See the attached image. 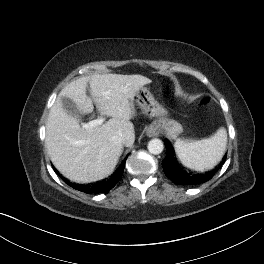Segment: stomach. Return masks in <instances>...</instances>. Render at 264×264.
Listing matches in <instances>:
<instances>
[{
  "label": "stomach",
  "instance_id": "obj_1",
  "mask_svg": "<svg viewBox=\"0 0 264 264\" xmlns=\"http://www.w3.org/2000/svg\"><path fill=\"white\" fill-rule=\"evenodd\" d=\"M135 101L144 115L157 117L151 125L157 132L165 134L170 139H175L183 132V127L179 122L166 117V109L158 103L148 88H140L135 94Z\"/></svg>",
  "mask_w": 264,
  "mask_h": 264
}]
</instances>
